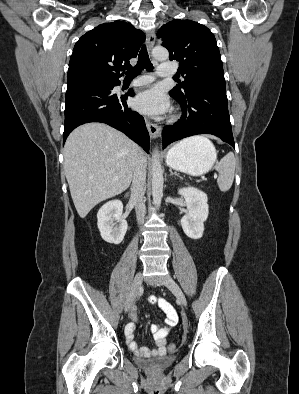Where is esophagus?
<instances>
[{
	"mask_svg": "<svg viewBox=\"0 0 299 394\" xmlns=\"http://www.w3.org/2000/svg\"><path fill=\"white\" fill-rule=\"evenodd\" d=\"M146 42H147L148 49L151 50L152 47L154 46V43H155V32L153 30H149L147 32ZM146 125H147V129L149 131L150 136L152 138H157L160 134L161 128L157 124H155L149 120L146 121Z\"/></svg>",
	"mask_w": 299,
	"mask_h": 394,
	"instance_id": "esophagus-1",
	"label": "esophagus"
}]
</instances>
